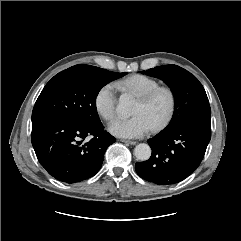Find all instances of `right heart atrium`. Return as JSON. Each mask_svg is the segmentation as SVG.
Returning a JSON list of instances; mask_svg holds the SVG:
<instances>
[{
    "label": "right heart atrium",
    "instance_id": "right-heart-atrium-1",
    "mask_svg": "<svg viewBox=\"0 0 241 241\" xmlns=\"http://www.w3.org/2000/svg\"><path fill=\"white\" fill-rule=\"evenodd\" d=\"M95 108L106 121H111L116 113L117 97L110 84L102 86L95 95Z\"/></svg>",
    "mask_w": 241,
    "mask_h": 241
}]
</instances>
